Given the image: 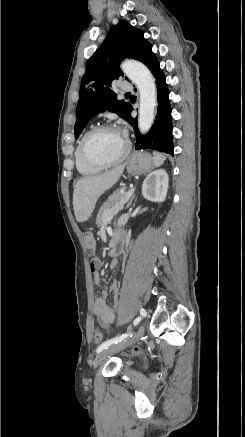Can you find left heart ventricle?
I'll list each match as a JSON object with an SVG mask.
<instances>
[{
    "mask_svg": "<svg viewBox=\"0 0 245 437\" xmlns=\"http://www.w3.org/2000/svg\"><path fill=\"white\" fill-rule=\"evenodd\" d=\"M125 147V137L117 130L99 132L92 136L87 143L88 153L101 161H111L120 157Z\"/></svg>",
    "mask_w": 245,
    "mask_h": 437,
    "instance_id": "left-heart-ventricle-1",
    "label": "left heart ventricle"
}]
</instances>
